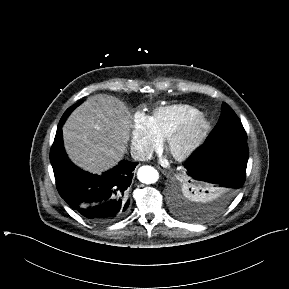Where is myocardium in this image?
Returning a JSON list of instances; mask_svg holds the SVG:
<instances>
[{
    "label": "myocardium",
    "mask_w": 289,
    "mask_h": 289,
    "mask_svg": "<svg viewBox=\"0 0 289 289\" xmlns=\"http://www.w3.org/2000/svg\"><path fill=\"white\" fill-rule=\"evenodd\" d=\"M210 128L202 113L189 118L167 139V151L177 160L187 159L203 144Z\"/></svg>",
    "instance_id": "obj_1"
}]
</instances>
